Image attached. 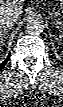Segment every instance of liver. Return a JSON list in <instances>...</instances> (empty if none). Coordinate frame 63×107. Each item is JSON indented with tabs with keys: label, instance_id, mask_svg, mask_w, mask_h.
I'll return each mask as SVG.
<instances>
[{
	"label": "liver",
	"instance_id": "liver-1",
	"mask_svg": "<svg viewBox=\"0 0 63 107\" xmlns=\"http://www.w3.org/2000/svg\"><path fill=\"white\" fill-rule=\"evenodd\" d=\"M23 3V0H1L0 14L1 12H5L20 16L22 14Z\"/></svg>",
	"mask_w": 63,
	"mask_h": 107
}]
</instances>
